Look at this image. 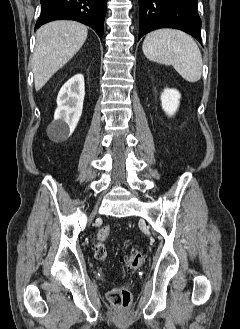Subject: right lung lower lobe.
I'll use <instances>...</instances> for the list:
<instances>
[{"mask_svg": "<svg viewBox=\"0 0 240 329\" xmlns=\"http://www.w3.org/2000/svg\"><path fill=\"white\" fill-rule=\"evenodd\" d=\"M36 28L60 19L75 20L93 28L102 39L107 0H41Z\"/></svg>", "mask_w": 240, "mask_h": 329, "instance_id": "obj_1", "label": "right lung lower lobe"}]
</instances>
